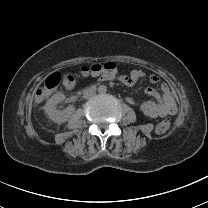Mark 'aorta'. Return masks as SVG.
Instances as JSON below:
<instances>
[{
    "label": "aorta",
    "instance_id": "obj_1",
    "mask_svg": "<svg viewBox=\"0 0 208 208\" xmlns=\"http://www.w3.org/2000/svg\"><path fill=\"white\" fill-rule=\"evenodd\" d=\"M97 92H98L99 95L105 96V95L108 94L109 89H108V87L105 86V85H100V86H98V88H97Z\"/></svg>",
    "mask_w": 208,
    "mask_h": 208
}]
</instances>
